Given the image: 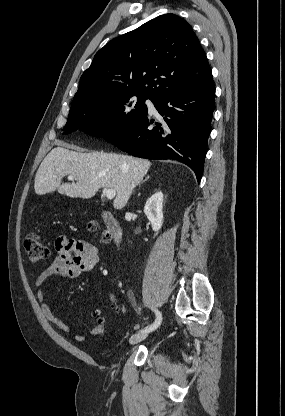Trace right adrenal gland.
I'll return each instance as SVG.
<instances>
[{
	"instance_id": "obj_1",
	"label": "right adrenal gland",
	"mask_w": 285,
	"mask_h": 416,
	"mask_svg": "<svg viewBox=\"0 0 285 416\" xmlns=\"http://www.w3.org/2000/svg\"><path fill=\"white\" fill-rule=\"evenodd\" d=\"M146 180H149V176H147V178H145V180H143V182H146ZM143 182H141V184H143ZM141 184H139V188H141Z\"/></svg>"
}]
</instances>
